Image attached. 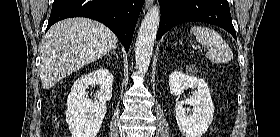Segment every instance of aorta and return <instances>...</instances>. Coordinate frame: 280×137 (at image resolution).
<instances>
[{"mask_svg": "<svg viewBox=\"0 0 280 137\" xmlns=\"http://www.w3.org/2000/svg\"><path fill=\"white\" fill-rule=\"evenodd\" d=\"M159 21L160 7L155 5L145 15L135 43L136 67L140 72L145 73L149 68Z\"/></svg>", "mask_w": 280, "mask_h": 137, "instance_id": "1", "label": "aorta"}]
</instances>
